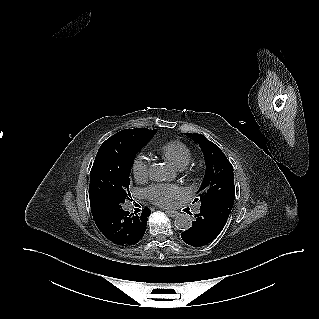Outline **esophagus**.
Wrapping results in <instances>:
<instances>
[{
  "instance_id": "1",
  "label": "esophagus",
  "mask_w": 319,
  "mask_h": 319,
  "mask_svg": "<svg viewBox=\"0 0 319 319\" xmlns=\"http://www.w3.org/2000/svg\"><path fill=\"white\" fill-rule=\"evenodd\" d=\"M165 212L170 216V217H176L179 213L174 210H165Z\"/></svg>"
}]
</instances>
